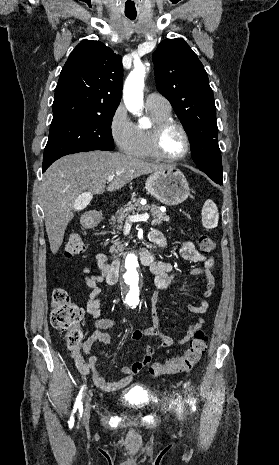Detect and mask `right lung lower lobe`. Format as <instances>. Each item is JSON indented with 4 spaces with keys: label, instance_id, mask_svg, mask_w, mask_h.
<instances>
[{
    "label": "right lung lower lobe",
    "instance_id": "98d812e1",
    "mask_svg": "<svg viewBox=\"0 0 279 465\" xmlns=\"http://www.w3.org/2000/svg\"><path fill=\"white\" fill-rule=\"evenodd\" d=\"M92 150H107L106 148H92V147H89L87 148V150H85V152L87 151H92ZM49 166H42V171L44 172Z\"/></svg>",
    "mask_w": 279,
    "mask_h": 465
}]
</instances>
